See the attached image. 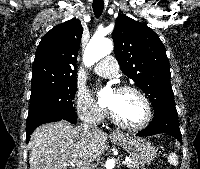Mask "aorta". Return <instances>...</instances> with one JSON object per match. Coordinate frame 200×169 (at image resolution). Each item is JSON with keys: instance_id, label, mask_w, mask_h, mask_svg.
<instances>
[{"instance_id": "762f6f07", "label": "aorta", "mask_w": 200, "mask_h": 169, "mask_svg": "<svg viewBox=\"0 0 200 169\" xmlns=\"http://www.w3.org/2000/svg\"><path fill=\"white\" fill-rule=\"evenodd\" d=\"M113 49V43L110 39L99 35L93 36L87 45L83 60L86 66H91L98 62L100 59L108 55ZM106 90L98 92L100 99L105 97ZM115 166V159H108L105 167L106 169H113Z\"/></svg>"}]
</instances>
